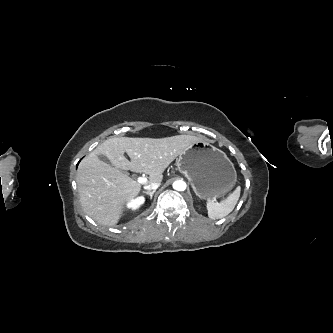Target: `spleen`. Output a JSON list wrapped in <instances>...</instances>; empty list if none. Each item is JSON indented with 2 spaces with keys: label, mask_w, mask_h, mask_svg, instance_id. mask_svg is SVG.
<instances>
[{
  "label": "spleen",
  "mask_w": 333,
  "mask_h": 333,
  "mask_svg": "<svg viewBox=\"0 0 333 333\" xmlns=\"http://www.w3.org/2000/svg\"><path fill=\"white\" fill-rule=\"evenodd\" d=\"M240 191L241 188L238 186L225 200L220 203L215 202V200H208V217L215 220L230 214L239 200Z\"/></svg>",
  "instance_id": "3e777b00"
}]
</instances>
